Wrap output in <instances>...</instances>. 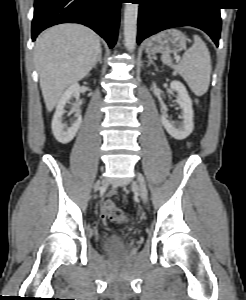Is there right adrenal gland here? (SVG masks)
<instances>
[{
  "label": "right adrenal gland",
  "instance_id": "2a0ac1e0",
  "mask_svg": "<svg viewBox=\"0 0 246 300\" xmlns=\"http://www.w3.org/2000/svg\"><path fill=\"white\" fill-rule=\"evenodd\" d=\"M98 62H99V63L102 62V50L99 52V55H98V57H97V60H96V62H95V64H94L93 68L96 67V65H97Z\"/></svg>",
  "mask_w": 246,
  "mask_h": 300
}]
</instances>
